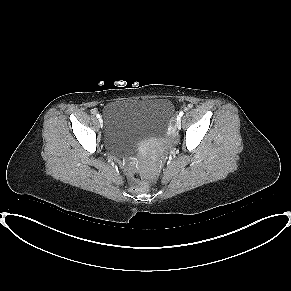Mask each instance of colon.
<instances>
[{"label":"colon","mask_w":291,"mask_h":291,"mask_svg":"<svg viewBox=\"0 0 291 291\" xmlns=\"http://www.w3.org/2000/svg\"><path fill=\"white\" fill-rule=\"evenodd\" d=\"M129 177L134 190H144L147 188V183L140 174L131 172Z\"/></svg>","instance_id":"5ec220e1"}]
</instances>
